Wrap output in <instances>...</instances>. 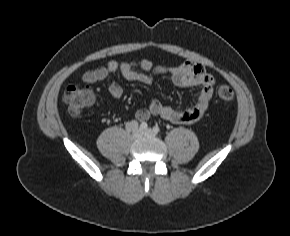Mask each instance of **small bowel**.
<instances>
[{
  "label": "small bowel",
  "instance_id": "obj_1",
  "mask_svg": "<svg viewBox=\"0 0 290 236\" xmlns=\"http://www.w3.org/2000/svg\"><path fill=\"white\" fill-rule=\"evenodd\" d=\"M117 72L130 82L138 81L149 84L155 76L166 75L178 87L197 86L200 88L195 104L185 110H176L164 105L159 99H152L148 108L136 111L135 117L139 122H144L151 116H159L175 124H193L202 118L212 98V77L203 66L189 60L172 67L155 65L149 59L124 62L110 60L103 66L86 71L82 79L85 83L94 84L104 81ZM109 92L116 100L123 95V89L117 82L110 83Z\"/></svg>",
  "mask_w": 290,
  "mask_h": 236
}]
</instances>
